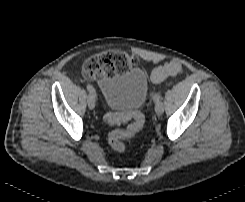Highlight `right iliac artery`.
Segmentation results:
<instances>
[{
	"label": "right iliac artery",
	"instance_id": "right-iliac-artery-1",
	"mask_svg": "<svg viewBox=\"0 0 245 202\" xmlns=\"http://www.w3.org/2000/svg\"><path fill=\"white\" fill-rule=\"evenodd\" d=\"M87 90L89 91V93L92 95V96H96V91L94 89V87L90 84H87Z\"/></svg>",
	"mask_w": 245,
	"mask_h": 202
}]
</instances>
